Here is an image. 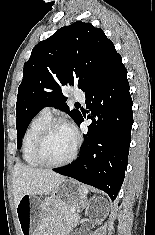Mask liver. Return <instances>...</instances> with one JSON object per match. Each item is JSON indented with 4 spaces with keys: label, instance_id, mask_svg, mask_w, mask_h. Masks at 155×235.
I'll use <instances>...</instances> for the list:
<instances>
[{
    "label": "liver",
    "instance_id": "1",
    "mask_svg": "<svg viewBox=\"0 0 155 235\" xmlns=\"http://www.w3.org/2000/svg\"><path fill=\"white\" fill-rule=\"evenodd\" d=\"M64 177L51 171L33 168L17 162L13 168V194L15 206L28 195L49 194Z\"/></svg>",
    "mask_w": 155,
    "mask_h": 235
}]
</instances>
